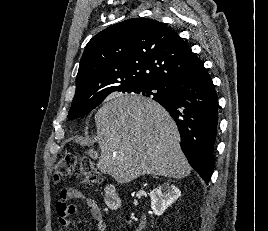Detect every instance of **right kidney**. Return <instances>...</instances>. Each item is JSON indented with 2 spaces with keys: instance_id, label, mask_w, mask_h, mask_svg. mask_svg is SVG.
Segmentation results:
<instances>
[{
  "instance_id": "obj_1",
  "label": "right kidney",
  "mask_w": 268,
  "mask_h": 231,
  "mask_svg": "<svg viewBox=\"0 0 268 231\" xmlns=\"http://www.w3.org/2000/svg\"><path fill=\"white\" fill-rule=\"evenodd\" d=\"M181 195L179 188L164 183L150 192L151 208L157 216L162 215ZM131 222V221H130Z\"/></svg>"
}]
</instances>
